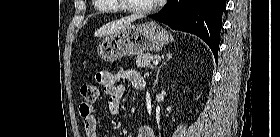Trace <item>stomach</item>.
Returning a JSON list of instances; mask_svg holds the SVG:
<instances>
[{
	"label": "stomach",
	"instance_id": "obj_1",
	"mask_svg": "<svg viewBox=\"0 0 280 137\" xmlns=\"http://www.w3.org/2000/svg\"><path fill=\"white\" fill-rule=\"evenodd\" d=\"M172 40L170 33L156 22L129 25L102 40L97 48L104 61L113 62L123 56L141 55L146 51H160Z\"/></svg>",
	"mask_w": 280,
	"mask_h": 137
}]
</instances>
